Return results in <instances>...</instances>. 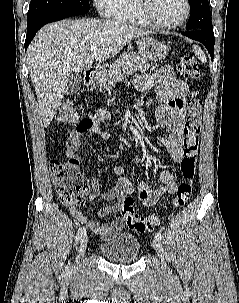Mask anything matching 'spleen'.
I'll return each instance as SVG.
<instances>
[{
    "instance_id": "spleen-1",
    "label": "spleen",
    "mask_w": 239,
    "mask_h": 303,
    "mask_svg": "<svg viewBox=\"0 0 239 303\" xmlns=\"http://www.w3.org/2000/svg\"><path fill=\"white\" fill-rule=\"evenodd\" d=\"M193 51H194V54L198 57V59H199L201 62H203V63H206V62H207L206 55L204 54V52L201 50L200 47L194 46V47H193Z\"/></svg>"
}]
</instances>
